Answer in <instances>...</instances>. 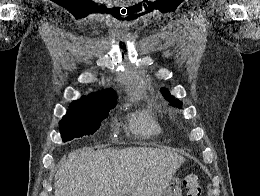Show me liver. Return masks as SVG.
Instances as JSON below:
<instances>
[{
    "instance_id": "1",
    "label": "liver",
    "mask_w": 260,
    "mask_h": 196,
    "mask_svg": "<svg viewBox=\"0 0 260 196\" xmlns=\"http://www.w3.org/2000/svg\"><path fill=\"white\" fill-rule=\"evenodd\" d=\"M183 156L158 148L75 150L55 176V196H162Z\"/></svg>"
}]
</instances>
